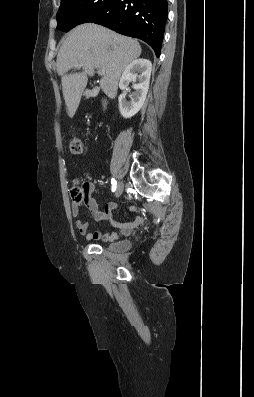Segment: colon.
Listing matches in <instances>:
<instances>
[{
	"mask_svg": "<svg viewBox=\"0 0 254 397\" xmlns=\"http://www.w3.org/2000/svg\"><path fill=\"white\" fill-rule=\"evenodd\" d=\"M69 148L72 154L80 155L84 151V145L81 138L76 135H72L69 139ZM88 183L84 182L81 185L76 186L72 190V198L75 203H86L88 199L87 194Z\"/></svg>",
	"mask_w": 254,
	"mask_h": 397,
	"instance_id": "1",
	"label": "colon"
}]
</instances>
